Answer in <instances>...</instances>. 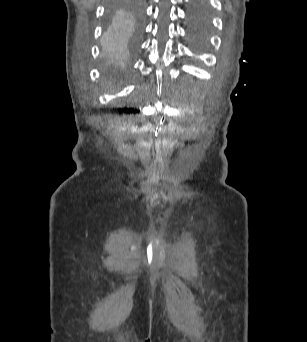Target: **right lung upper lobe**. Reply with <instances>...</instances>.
<instances>
[{"instance_id":"1","label":"right lung upper lobe","mask_w":307,"mask_h":342,"mask_svg":"<svg viewBox=\"0 0 307 342\" xmlns=\"http://www.w3.org/2000/svg\"><path fill=\"white\" fill-rule=\"evenodd\" d=\"M120 5L133 12H136L138 10V6L135 2H124V3H121Z\"/></svg>"}]
</instances>
